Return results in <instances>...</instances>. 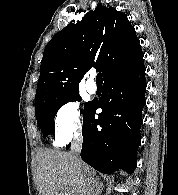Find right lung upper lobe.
Here are the masks:
<instances>
[{"mask_svg": "<svg viewBox=\"0 0 178 195\" xmlns=\"http://www.w3.org/2000/svg\"><path fill=\"white\" fill-rule=\"evenodd\" d=\"M143 53L125 13L98 4L81 22L67 25L46 45L35 95V108L79 92L80 77L91 67L103 79L134 68Z\"/></svg>", "mask_w": 178, "mask_h": 195, "instance_id": "obj_1", "label": "right lung upper lobe"}]
</instances>
